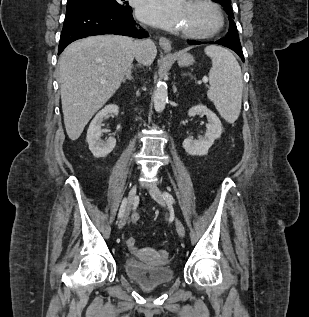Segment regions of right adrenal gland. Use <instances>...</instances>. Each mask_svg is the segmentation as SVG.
Masks as SVG:
<instances>
[{"label": "right adrenal gland", "instance_id": "1", "mask_svg": "<svg viewBox=\"0 0 309 317\" xmlns=\"http://www.w3.org/2000/svg\"><path fill=\"white\" fill-rule=\"evenodd\" d=\"M132 70L133 66L129 67V69L126 71L125 77L122 80L123 83H125L126 80H133Z\"/></svg>", "mask_w": 309, "mask_h": 317}]
</instances>
